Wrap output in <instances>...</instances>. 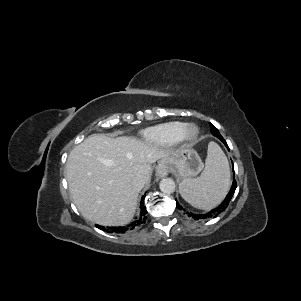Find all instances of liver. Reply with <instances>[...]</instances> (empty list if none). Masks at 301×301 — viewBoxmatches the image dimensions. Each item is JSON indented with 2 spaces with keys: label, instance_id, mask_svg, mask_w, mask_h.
<instances>
[{
  "label": "liver",
  "instance_id": "liver-1",
  "mask_svg": "<svg viewBox=\"0 0 301 301\" xmlns=\"http://www.w3.org/2000/svg\"><path fill=\"white\" fill-rule=\"evenodd\" d=\"M135 137L91 135L77 145L66 163V179L74 204L83 217L104 226L129 223L140 190L133 179L151 180L152 164L170 156Z\"/></svg>",
  "mask_w": 301,
  "mask_h": 301
}]
</instances>
